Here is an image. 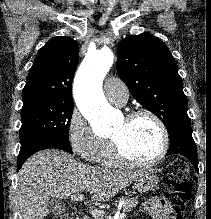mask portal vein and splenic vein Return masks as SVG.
Segmentation results:
<instances>
[{"instance_id": "obj_1", "label": "portal vein and splenic vein", "mask_w": 211, "mask_h": 219, "mask_svg": "<svg viewBox=\"0 0 211 219\" xmlns=\"http://www.w3.org/2000/svg\"><path fill=\"white\" fill-rule=\"evenodd\" d=\"M70 199H71V201H83L84 196L81 194H75V195H71ZM100 213L101 212H99V211H95V212H92V215L97 216ZM125 217H126V214L124 212L119 215V219H125Z\"/></svg>"}]
</instances>
